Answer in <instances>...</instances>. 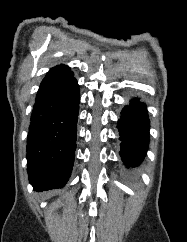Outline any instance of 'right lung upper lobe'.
<instances>
[{
	"label": "right lung upper lobe",
	"instance_id": "obj_1",
	"mask_svg": "<svg viewBox=\"0 0 187 242\" xmlns=\"http://www.w3.org/2000/svg\"><path fill=\"white\" fill-rule=\"evenodd\" d=\"M72 74L73 72L70 70L68 66L57 65L56 67H53L49 70V72L46 74L45 78L41 82L40 86H46L61 81Z\"/></svg>",
	"mask_w": 187,
	"mask_h": 242
}]
</instances>
